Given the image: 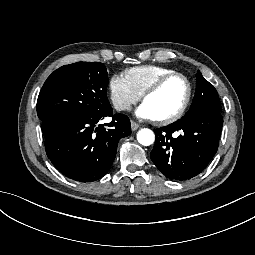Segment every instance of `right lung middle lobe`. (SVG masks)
Wrapping results in <instances>:
<instances>
[{"label": "right lung middle lobe", "mask_w": 255, "mask_h": 255, "mask_svg": "<svg viewBox=\"0 0 255 255\" xmlns=\"http://www.w3.org/2000/svg\"><path fill=\"white\" fill-rule=\"evenodd\" d=\"M108 73L102 63L77 62L55 70L37 100V114L45 129L69 119H101L113 113L107 99Z\"/></svg>", "instance_id": "right-lung-middle-lobe-1"}]
</instances>
